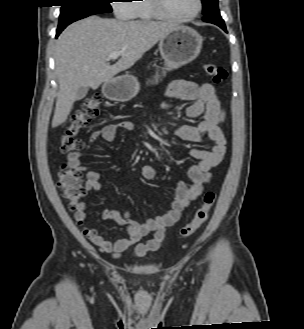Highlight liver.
<instances>
[{
	"label": "liver",
	"instance_id": "obj_1",
	"mask_svg": "<svg viewBox=\"0 0 304 329\" xmlns=\"http://www.w3.org/2000/svg\"><path fill=\"white\" fill-rule=\"evenodd\" d=\"M176 27L154 21H119L91 16L69 25L55 43V71L59 83L52 127L63 124L76 101L79 87L97 89L129 69ZM121 52L114 65L110 53Z\"/></svg>",
	"mask_w": 304,
	"mask_h": 329
}]
</instances>
